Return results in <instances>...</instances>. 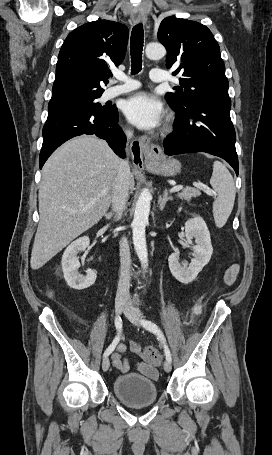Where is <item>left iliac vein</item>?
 <instances>
[{"instance_id":"obj_1","label":"left iliac vein","mask_w":272,"mask_h":455,"mask_svg":"<svg viewBox=\"0 0 272 455\" xmlns=\"http://www.w3.org/2000/svg\"><path fill=\"white\" fill-rule=\"evenodd\" d=\"M124 314L134 325H137V326L141 325L140 319L142 317V313L138 309L127 306L124 309ZM163 367L166 372H170L171 368H172L171 362L166 360L163 364Z\"/></svg>"}]
</instances>
